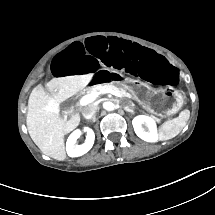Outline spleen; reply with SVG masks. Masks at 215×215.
Returning a JSON list of instances; mask_svg holds the SVG:
<instances>
[{
	"label": "spleen",
	"mask_w": 215,
	"mask_h": 215,
	"mask_svg": "<svg viewBox=\"0 0 215 215\" xmlns=\"http://www.w3.org/2000/svg\"><path fill=\"white\" fill-rule=\"evenodd\" d=\"M186 122L182 119L181 114L172 119L165 121L159 131L160 140H167L175 137L180 133Z\"/></svg>",
	"instance_id": "obj_1"
}]
</instances>
